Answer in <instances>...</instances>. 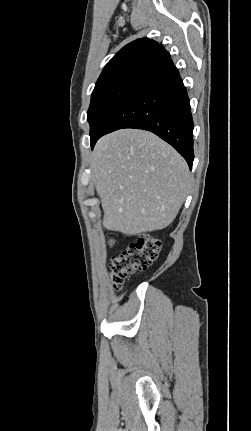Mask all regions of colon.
Masks as SVG:
<instances>
[{
	"label": "colon",
	"mask_w": 251,
	"mask_h": 431,
	"mask_svg": "<svg viewBox=\"0 0 251 431\" xmlns=\"http://www.w3.org/2000/svg\"><path fill=\"white\" fill-rule=\"evenodd\" d=\"M161 246L160 240L148 234L112 257L109 267L114 288H120L125 279L135 272L146 270L158 258Z\"/></svg>",
	"instance_id": "colon-1"
}]
</instances>
